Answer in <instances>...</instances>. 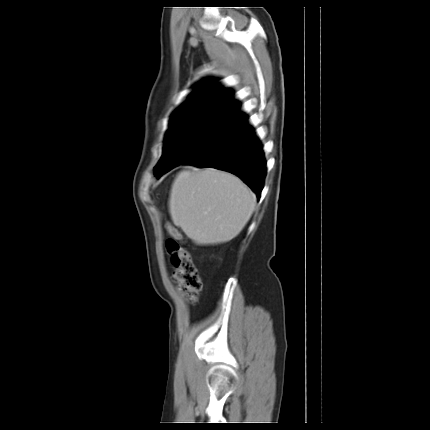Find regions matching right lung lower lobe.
Returning a JSON list of instances; mask_svg holds the SVG:
<instances>
[{
	"mask_svg": "<svg viewBox=\"0 0 430 430\" xmlns=\"http://www.w3.org/2000/svg\"><path fill=\"white\" fill-rule=\"evenodd\" d=\"M183 164L213 167L237 175L260 198L266 175L262 145L247 117Z\"/></svg>",
	"mask_w": 430,
	"mask_h": 430,
	"instance_id": "1",
	"label": "right lung lower lobe"
}]
</instances>
